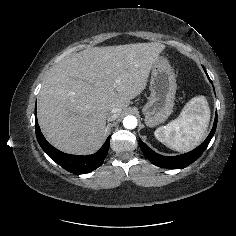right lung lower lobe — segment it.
Instances as JSON below:
<instances>
[{
  "mask_svg": "<svg viewBox=\"0 0 236 236\" xmlns=\"http://www.w3.org/2000/svg\"><path fill=\"white\" fill-rule=\"evenodd\" d=\"M35 131L37 140L41 148L48 154V156L52 158L61 167H63L65 170L71 173H75L77 175L88 173L97 169L100 165H102L109 150L110 136L107 138L106 142L101 147V149L93 155L77 156L66 154L55 149L46 141L40 131L37 122V117L35 119Z\"/></svg>",
  "mask_w": 236,
  "mask_h": 236,
  "instance_id": "1",
  "label": "right lung lower lobe"
}]
</instances>
